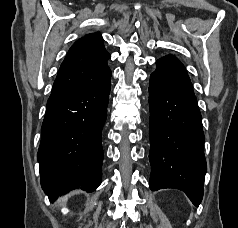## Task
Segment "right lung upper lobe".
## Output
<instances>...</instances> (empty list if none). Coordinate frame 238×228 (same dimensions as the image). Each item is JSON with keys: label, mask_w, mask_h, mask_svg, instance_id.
Wrapping results in <instances>:
<instances>
[{"label": "right lung upper lobe", "mask_w": 238, "mask_h": 228, "mask_svg": "<svg viewBox=\"0 0 238 228\" xmlns=\"http://www.w3.org/2000/svg\"><path fill=\"white\" fill-rule=\"evenodd\" d=\"M111 55L99 33L86 35L68 51L58 71L51 93L75 89L97 82L103 77Z\"/></svg>", "instance_id": "right-lung-upper-lobe-1"}]
</instances>
